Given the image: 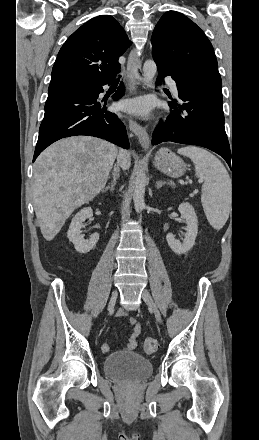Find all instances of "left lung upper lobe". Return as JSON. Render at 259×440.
I'll list each match as a JSON object with an SVG mask.
<instances>
[{
	"label": "left lung upper lobe",
	"instance_id": "obj_1",
	"mask_svg": "<svg viewBox=\"0 0 259 440\" xmlns=\"http://www.w3.org/2000/svg\"><path fill=\"white\" fill-rule=\"evenodd\" d=\"M152 55L167 65L180 82L207 80L222 86L212 44L185 15L166 12L152 34Z\"/></svg>",
	"mask_w": 259,
	"mask_h": 440
}]
</instances>
